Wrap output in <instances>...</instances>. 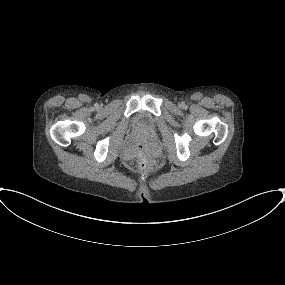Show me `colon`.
<instances>
[{"instance_id":"obj_1","label":"colon","mask_w":285,"mask_h":285,"mask_svg":"<svg viewBox=\"0 0 285 285\" xmlns=\"http://www.w3.org/2000/svg\"><path fill=\"white\" fill-rule=\"evenodd\" d=\"M158 166L157 159L154 157L152 152L145 147H141L137 154L136 159L131 162L132 168L143 169V170H154Z\"/></svg>"}]
</instances>
